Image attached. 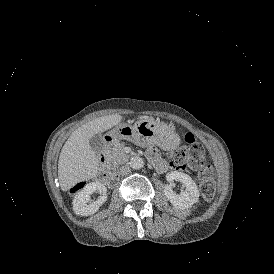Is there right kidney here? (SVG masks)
Wrapping results in <instances>:
<instances>
[{"mask_svg": "<svg viewBox=\"0 0 274 274\" xmlns=\"http://www.w3.org/2000/svg\"><path fill=\"white\" fill-rule=\"evenodd\" d=\"M99 192L101 196L95 201L90 202V195ZM107 188L100 182H91L85 185L73 199V211L80 216L93 215L98 211L100 206L107 200ZM90 202V204H87Z\"/></svg>", "mask_w": 274, "mask_h": 274, "instance_id": "right-kidney-1", "label": "right kidney"}]
</instances>
